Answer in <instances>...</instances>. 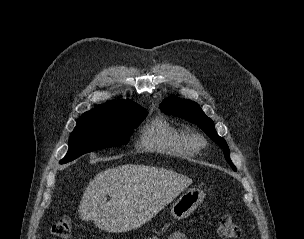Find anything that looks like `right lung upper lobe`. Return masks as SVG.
I'll return each instance as SVG.
<instances>
[{"label":"right lung upper lobe","mask_w":304,"mask_h":239,"mask_svg":"<svg viewBox=\"0 0 304 239\" xmlns=\"http://www.w3.org/2000/svg\"><path fill=\"white\" fill-rule=\"evenodd\" d=\"M132 108H142L138 104L132 101H111L105 104L96 105L94 109L85 112L82 116H110L117 115L125 112L128 109Z\"/></svg>","instance_id":"right-lung-upper-lobe-1"}]
</instances>
